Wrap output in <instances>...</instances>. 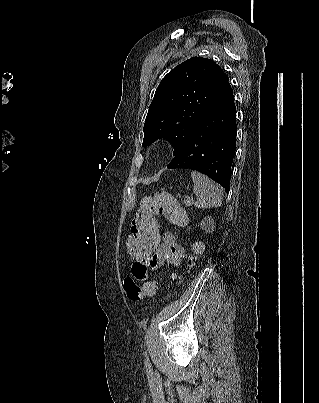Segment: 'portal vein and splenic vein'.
Returning a JSON list of instances; mask_svg holds the SVG:
<instances>
[{"mask_svg":"<svg viewBox=\"0 0 319 403\" xmlns=\"http://www.w3.org/2000/svg\"><path fill=\"white\" fill-rule=\"evenodd\" d=\"M192 201H193V197L190 198V197L187 196L186 199L184 200V203L185 204H190Z\"/></svg>","mask_w":319,"mask_h":403,"instance_id":"portal-vein-and-splenic-vein-1","label":"portal vein and splenic vein"}]
</instances>
